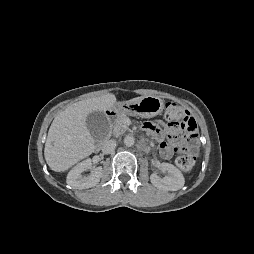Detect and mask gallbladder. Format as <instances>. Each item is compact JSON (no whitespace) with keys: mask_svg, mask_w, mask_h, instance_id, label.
<instances>
[{"mask_svg":"<svg viewBox=\"0 0 254 254\" xmlns=\"http://www.w3.org/2000/svg\"><path fill=\"white\" fill-rule=\"evenodd\" d=\"M86 126L97 142L104 140L109 131V121L104 112L93 111L86 118Z\"/></svg>","mask_w":254,"mask_h":254,"instance_id":"bac80fb5","label":"gallbladder"}]
</instances>
